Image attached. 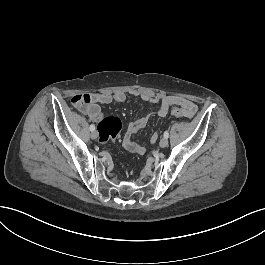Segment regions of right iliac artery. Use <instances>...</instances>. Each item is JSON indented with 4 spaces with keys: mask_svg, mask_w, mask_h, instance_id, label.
I'll return each instance as SVG.
<instances>
[{
    "mask_svg": "<svg viewBox=\"0 0 265 265\" xmlns=\"http://www.w3.org/2000/svg\"><path fill=\"white\" fill-rule=\"evenodd\" d=\"M90 130L91 131H94L95 130V126L92 124V125H90Z\"/></svg>",
    "mask_w": 265,
    "mask_h": 265,
    "instance_id": "1",
    "label": "right iliac artery"
}]
</instances>
